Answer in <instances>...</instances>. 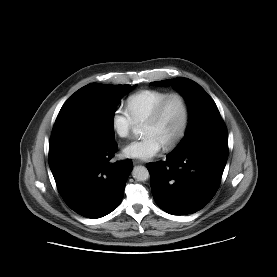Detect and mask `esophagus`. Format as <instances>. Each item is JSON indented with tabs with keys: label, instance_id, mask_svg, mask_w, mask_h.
I'll return each mask as SVG.
<instances>
[{
	"label": "esophagus",
	"instance_id": "esophagus-1",
	"mask_svg": "<svg viewBox=\"0 0 277 277\" xmlns=\"http://www.w3.org/2000/svg\"><path fill=\"white\" fill-rule=\"evenodd\" d=\"M133 164L137 165V164H143V161L141 160H134Z\"/></svg>",
	"mask_w": 277,
	"mask_h": 277
}]
</instances>
